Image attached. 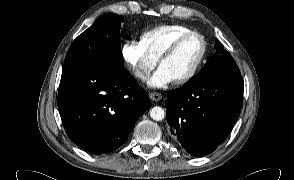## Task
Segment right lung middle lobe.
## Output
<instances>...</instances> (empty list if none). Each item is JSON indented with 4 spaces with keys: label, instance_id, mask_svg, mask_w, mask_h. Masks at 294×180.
I'll use <instances>...</instances> for the list:
<instances>
[{
    "label": "right lung middle lobe",
    "instance_id": "1",
    "mask_svg": "<svg viewBox=\"0 0 294 180\" xmlns=\"http://www.w3.org/2000/svg\"><path fill=\"white\" fill-rule=\"evenodd\" d=\"M114 13L104 14L71 44L64 60L62 74L82 67H105L124 70L120 23Z\"/></svg>",
    "mask_w": 294,
    "mask_h": 180
}]
</instances>
